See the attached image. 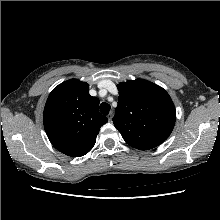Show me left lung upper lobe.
<instances>
[{"label":"left lung upper lobe","mask_w":220,"mask_h":220,"mask_svg":"<svg viewBox=\"0 0 220 220\" xmlns=\"http://www.w3.org/2000/svg\"><path fill=\"white\" fill-rule=\"evenodd\" d=\"M117 88L119 100L113 123L125 142L139 150L152 149L163 143L176 120L169 94L147 80H129Z\"/></svg>","instance_id":"left-lung-upper-lobe-1"}]
</instances>
